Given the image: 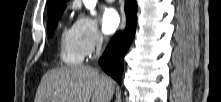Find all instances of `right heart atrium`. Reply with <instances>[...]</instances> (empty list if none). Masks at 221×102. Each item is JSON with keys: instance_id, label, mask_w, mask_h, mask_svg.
<instances>
[{"instance_id": "obj_1", "label": "right heart atrium", "mask_w": 221, "mask_h": 102, "mask_svg": "<svg viewBox=\"0 0 221 102\" xmlns=\"http://www.w3.org/2000/svg\"><path fill=\"white\" fill-rule=\"evenodd\" d=\"M76 45L83 57L91 55L103 41L97 22L84 14L77 16L72 26Z\"/></svg>"}]
</instances>
